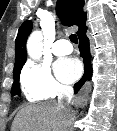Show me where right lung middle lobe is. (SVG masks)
<instances>
[{
    "instance_id": "right-lung-middle-lobe-1",
    "label": "right lung middle lobe",
    "mask_w": 117,
    "mask_h": 131,
    "mask_svg": "<svg viewBox=\"0 0 117 131\" xmlns=\"http://www.w3.org/2000/svg\"><path fill=\"white\" fill-rule=\"evenodd\" d=\"M13 76H14V82H13V85H12V96L20 95L21 94L20 86H19L20 73L13 75Z\"/></svg>"
}]
</instances>
